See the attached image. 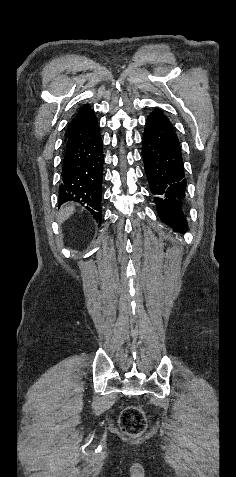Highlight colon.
<instances>
[{
    "mask_svg": "<svg viewBox=\"0 0 236 477\" xmlns=\"http://www.w3.org/2000/svg\"><path fill=\"white\" fill-rule=\"evenodd\" d=\"M121 431L130 436L140 435L147 426L144 412L137 406H128L119 419Z\"/></svg>",
    "mask_w": 236,
    "mask_h": 477,
    "instance_id": "colon-1",
    "label": "colon"
}]
</instances>
